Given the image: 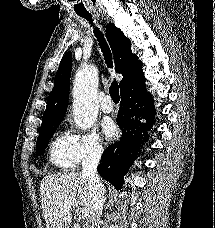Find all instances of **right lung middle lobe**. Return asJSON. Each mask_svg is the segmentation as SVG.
<instances>
[{"instance_id": "dd1d6c3e", "label": "right lung middle lobe", "mask_w": 215, "mask_h": 228, "mask_svg": "<svg viewBox=\"0 0 215 228\" xmlns=\"http://www.w3.org/2000/svg\"><path fill=\"white\" fill-rule=\"evenodd\" d=\"M60 123L61 122L41 125L39 137L37 138L36 142V156L42 155L44 153L49 140L52 138Z\"/></svg>"}]
</instances>
